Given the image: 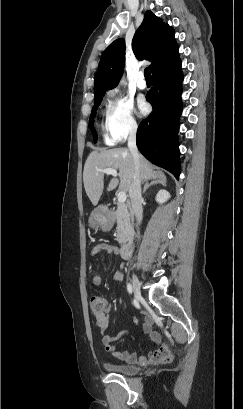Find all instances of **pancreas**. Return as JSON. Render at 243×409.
I'll use <instances>...</instances> for the list:
<instances>
[{
	"mask_svg": "<svg viewBox=\"0 0 243 409\" xmlns=\"http://www.w3.org/2000/svg\"><path fill=\"white\" fill-rule=\"evenodd\" d=\"M115 217L117 219V240L120 244H124L131 239L133 234V218L128 210V206L118 204Z\"/></svg>",
	"mask_w": 243,
	"mask_h": 409,
	"instance_id": "cf45deb5",
	"label": "pancreas"
}]
</instances>
